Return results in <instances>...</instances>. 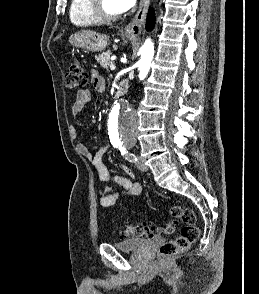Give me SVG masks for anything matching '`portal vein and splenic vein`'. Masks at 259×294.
<instances>
[{
    "instance_id": "obj_1",
    "label": "portal vein and splenic vein",
    "mask_w": 259,
    "mask_h": 294,
    "mask_svg": "<svg viewBox=\"0 0 259 294\" xmlns=\"http://www.w3.org/2000/svg\"><path fill=\"white\" fill-rule=\"evenodd\" d=\"M115 68H116V66H115L113 63H111V64H110V69H111V70H114Z\"/></svg>"
}]
</instances>
